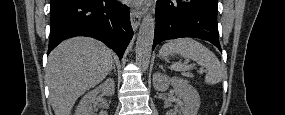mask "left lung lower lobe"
Instances as JSON below:
<instances>
[{"label": "left lung lower lobe", "instance_id": "1", "mask_svg": "<svg viewBox=\"0 0 285 115\" xmlns=\"http://www.w3.org/2000/svg\"><path fill=\"white\" fill-rule=\"evenodd\" d=\"M153 49L161 41L195 37L220 51L217 0H157Z\"/></svg>", "mask_w": 285, "mask_h": 115}]
</instances>
